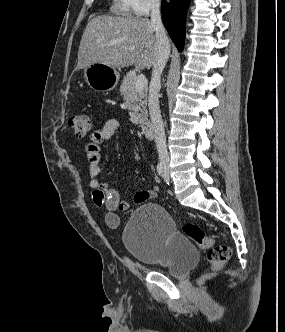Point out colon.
I'll use <instances>...</instances> for the list:
<instances>
[{
  "label": "colon",
  "instance_id": "colon-1",
  "mask_svg": "<svg viewBox=\"0 0 285 332\" xmlns=\"http://www.w3.org/2000/svg\"><path fill=\"white\" fill-rule=\"evenodd\" d=\"M69 127L77 137H85L91 130L89 118L84 114H76L69 120ZM183 232L200 247L207 249V260L213 269L220 268L231 256V250L226 245H215L204 230L195 223L183 225Z\"/></svg>",
  "mask_w": 285,
  "mask_h": 332
}]
</instances>
